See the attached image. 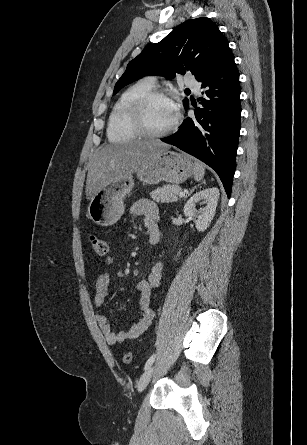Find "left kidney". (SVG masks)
<instances>
[{
  "instance_id": "obj_1",
  "label": "left kidney",
  "mask_w": 307,
  "mask_h": 445,
  "mask_svg": "<svg viewBox=\"0 0 307 445\" xmlns=\"http://www.w3.org/2000/svg\"><path fill=\"white\" fill-rule=\"evenodd\" d=\"M219 190L216 186L212 188H204L200 192L193 194L189 200H187L184 206V214L186 216H195V225L197 231H206L210 227L211 220L215 214L217 200L219 198ZM202 200V202H200ZM197 202L200 204H206L202 210H196L195 206Z\"/></svg>"
}]
</instances>
